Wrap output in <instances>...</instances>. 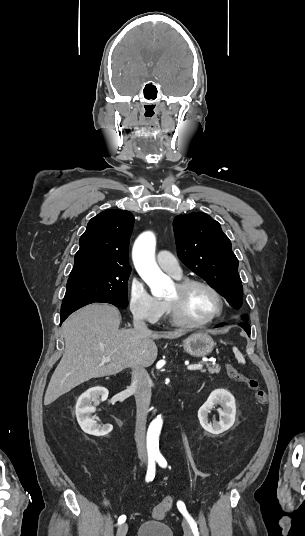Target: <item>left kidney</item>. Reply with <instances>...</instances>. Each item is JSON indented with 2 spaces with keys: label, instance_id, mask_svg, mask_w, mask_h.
I'll return each instance as SVG.
<instances>
[{
  "label": "left kidney",
  "instance_id": "left-kidney-1",
  "mask_svg": "<svg viewBox=\"0 0 305 536\" xmlns=\"http://www.w3.org/2000/svg\"><path fill=\"white\" fill-rule=\"evenodd\" d=\"M215 406H221V408H218L217 410L221 418L219 422L209 424L208 414H210ZM235 414V398L230 392H227V390H214V392H211L207 402H205L200 410H198V418L202 428H204L206 432H209V434H214V436L223 434V432H226V430H229V428L233 426L235 422Z\"/></svg>",
  "mask_w": 305,
  "mask_h": 536
}]
</instances>
